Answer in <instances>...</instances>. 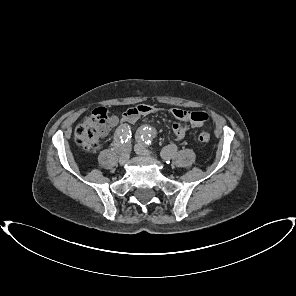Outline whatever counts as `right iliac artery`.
Segmentation results:
<instances>
[{
    "label": "right iliac artery",
    "instance_id": "right-iliac-artery-1",
    "mask_svg": "<svg viewBox=\"0 0 296 296\" xmlns=\"http://www.w3.org/2000/svg\"><path fill=\"white\" fill-rule=\"evenodd\" d=\"M127 133H131L129 126L119 128L116 133V145L121 152L124 151V138Z\"/></svg>",
    "mask_w": 296,
    "mask_h": 296
}]
</instances>
